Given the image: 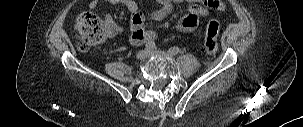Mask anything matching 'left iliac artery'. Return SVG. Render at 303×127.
I'll list each match as a JSON object with an SVG mask.
<instances>
[{
    "instance_id": "left-iliac-artery-1",
    "label": "left iliac artery",
    "mask_w": 303,
    "mask_h": 127,
    "mask_svg": "<svg viewBox=\"0 0 303 127\" xmlns=\"http://www.w3.org/2000/svg\"><path fill=\"white\" fill-rule=\"evenodd\" d=\"M169 53H171L172 55H176L180 52V48L177 47V46H174V47H171L169 50H168Z\"/></svg>"
}]
</instances>
